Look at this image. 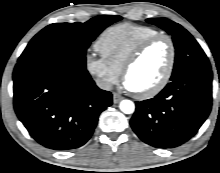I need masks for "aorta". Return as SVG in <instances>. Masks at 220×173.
Masks as SVG:
<instances>
[{"mask_svg":"<svg viewBox=\"0 0 220 173\" xmlns=\"http://www.w3.org/2000/svg\"><path fill=\"white\" fill-rule=\"evenodd\" d=\"M119 108L125 114H132L135 110V105L131 100H122Z\"/></svg>","mask_w":220,"mask_h":173,"instance_id":"aorta-1","label":"aorta"}]
</instances>
